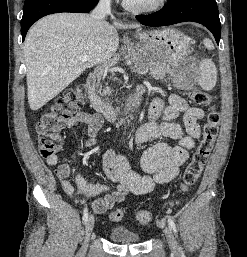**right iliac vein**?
<instances>
[{"instance_id":"obj_1","label":"right iliac vein","mask_w":247,"mask_h":257,"mask_svg":"<svg viewBox=\"0 0 247 257\" xmlns=\"http://www.w3.org/2000/svg\"><path fill=\"white\" fill-rule=\"evenodd\" d=\"M94 222H95L94 216L90 215L87 220L86 227H85L84 240H83L82 246H81L79 252L77 253L76 257H85V253L87 250L90 235L94 228Z\"/></svg>"}]
</instances>
